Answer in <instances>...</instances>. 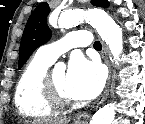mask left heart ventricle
I'll use <instances>...</instances> for the list:
<instances>
[{
  "instance_id": "1",
  "label": "left heart ventricle",
  "mask_w": 145,
  "mask_h": 124,
  "mask_svg": "<svg viewBox=\"0 0 145 124\" xmlns=\"http://www.w3.org/2000/svg\"><path fill=\"white\" fill-rule=\"evenodd\" d=\"M52 78L53 81L57 87V89L60 91V93L66 97L72 98L68 91H67V73L64 70L60 71H54L52 72Z\"/></svg>"
}]
</instances>
